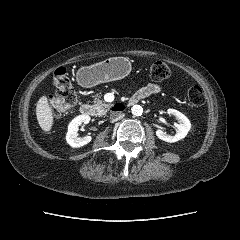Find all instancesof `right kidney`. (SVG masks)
<instances>
[{"mask_svg":"<svg viewBox=\"0 0 240 240\" xmlns=\"http://www.w3.org/2000/svg\"><path fill=\"white\" fill-rule=\"evenodd\" d=\"M90 121V116L87 114H82L76 116L68 125V132L66 134L67 143L74 148L82 147L91 141V136L80 137L78 135V127L84 123L88 124Z\"/></svg>","mask_w":240,"mask_h":240,"instance_id":"1","label":"right kidney"}]
</instances>
